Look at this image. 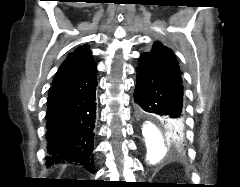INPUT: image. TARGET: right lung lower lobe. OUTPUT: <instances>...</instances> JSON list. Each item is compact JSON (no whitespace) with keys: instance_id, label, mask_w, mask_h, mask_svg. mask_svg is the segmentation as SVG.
Listing matches in <instances>:
<instances>
[{"instance_id":"right-lung-lower-lobe-1","label":"right lung lower lobe","mask_w":240,"mask_h":187,"mask_svg":"<svg viewBox=\"0 0 240 187\" xmlns=\"http://www.w3.org/2000/svg\"><path fill=\"white\" fill-rule=\"evenodd\" d=\"M96 71V65L90 66L50 87L46 113L48 166L80 163L93 171Z\"/></svg>"}]
</instances>
